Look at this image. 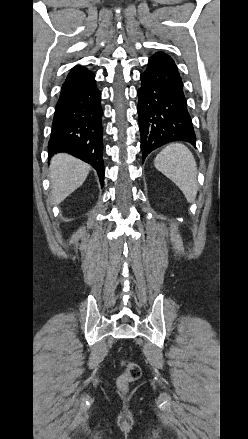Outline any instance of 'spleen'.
Listing matches in <instances>:
<instances>
[{"label": "spleen", "instance_id": "obj_1", "mask_svg": "<svg viewBox=\"0 0 248 439\" xmlns=\"http://www.w3.org/2000/svg\"><path fill=\"white\" fill-rule=\"evenodd\" d=\"M154 165L179 187L188 202H194L198 191L197 165L188 147L181 143L167 145L156 156Z\"/></svg>", "mask_w": 248, "mask_h": 439}]
</instances>
